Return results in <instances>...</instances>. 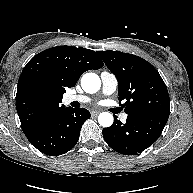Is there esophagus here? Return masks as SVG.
<instances>
[{"instance_id":"34e87169","label":"esophagus","mask_w":193,"mask_h":193,"mask_svg":"<svg viewBox=\"0 0 193 193\" xmlns=\"http://www.w3.org/2000/svg\"><path fill=\"white\" fill-rule=\"evenodd\" d=\"M99 113H100V111H98V110H92L91 111L92 116H97Z\"/></svg>"}]
</instances>
